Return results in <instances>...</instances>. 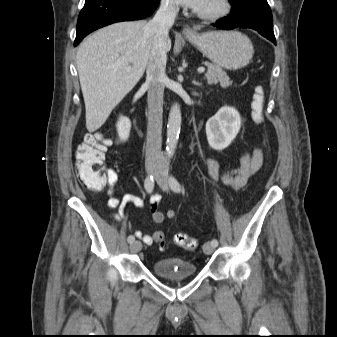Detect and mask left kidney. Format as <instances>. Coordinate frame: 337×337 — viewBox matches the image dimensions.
<instances>
[{
    "label": "left kidney",
    "instance_id": "left-kidney-1",
    "mask_svg": "<svg viewBox=\"0 0 337 337\" xmlns=\"http://www.w3.org/2000/svg\"><path fill=\"white\" fill-rule=\"evenodd\" d=\"M241 128V117L232 107L221 108L206 123L207 140L214 150L227 148Z\"/></svg>",
    "mask_w": 337,
    "mask_h": 337
}]
</instances>
